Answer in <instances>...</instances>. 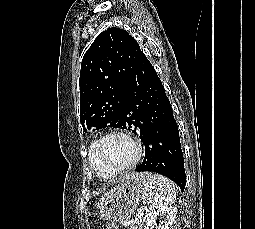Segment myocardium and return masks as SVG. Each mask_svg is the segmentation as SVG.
<instances>
[{"label": "myocardium", "mask_w": 255, "mask_h": 229, "mask_svg": "<svg viewBox=\"0 0 255 229\" xmlns=\"http://www.w3.org/2000/svg\"><path fill=\"white\" fill-rule=\"evenodd\" d=\"M111 136H122L126 139H128L134 146L135 148V156L133 158V160L125 166L122 167H118V168H113L110 167L108 165H106L100 158L99 156V146L100 144L108 137ZM91 151H92V155L94 157V159L99 163V165L102 167L103 170H105L108 174L110 175H119L121 173L127 172L132 170L137 163L139 162L141 156H142V146L140 141L134 137L132 134H130L129 132L123 131V130H110L107 131L103 134H101L98 138H96L93 142H92V146H91Z\"/></svg>", "instance_id": "f54148a6"}]
</instances>
